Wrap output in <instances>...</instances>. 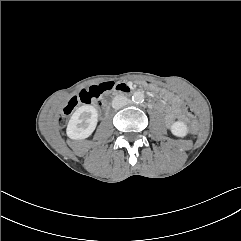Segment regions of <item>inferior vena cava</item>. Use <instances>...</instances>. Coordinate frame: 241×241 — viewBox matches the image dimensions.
I'll use <instances>...</instances> for the list:
<instances>
[{"mask_svg": "<svg viewBox=\"0 0 241 241\" xmlns=\"http://www.w3.org/2000/svg\"><path fill=\"white\" fill-rule=\"evenodd\" d=\"M128 103V99L123 95H117L113 98L112 107L114 109H120Z\"/></svg>", "mask_w": 241, "mask_h": 241, "instance_id": "602c4592", "label": "inferior vena cava"}]
</instances>
